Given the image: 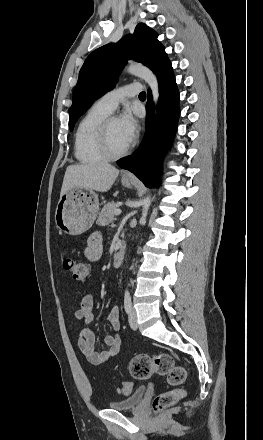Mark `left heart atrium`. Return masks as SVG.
<instances>
[{"mask_svg": "<svg viewBox=\"0 0 263 440\" xmlns=\"http://www.w3.org/2000/svg\"><path fill=\"white\" fill-rule=\"evenodd\" d=\"M118 120L126 140L131 143L138 131V121L135 115L130 110H126Z\"/></svg>", "mask_w": 263, "mask_h": 440, "instance_id": "1", "label": "left heart atrium"}]
</instances>
